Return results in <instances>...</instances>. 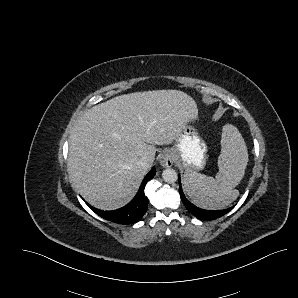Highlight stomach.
<instances>
[{"mask_svg":"<svg viewBox=\"0 0 298 298\" xmlns=\"http://www.w3.org/2000/svg\"><path fill=\"white\" fill-rule=\"evenodd\" d=\"M170 151L175 163L186 170L201 171L207 164L208 145L198 129L190 122L183 125Z\"/></svg>","mask_w":298,"mask_h":298,"instance_id":"stomach-1","label":"stomach"}]
</instances>
